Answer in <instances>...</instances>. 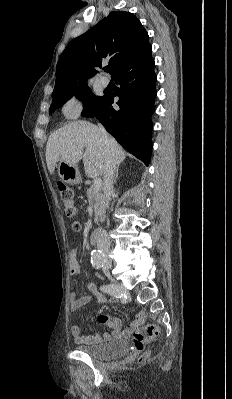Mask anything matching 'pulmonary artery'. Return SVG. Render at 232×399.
<instances>
[{
	"instance_id": "e3ab8cb5",
	"label": "pulmonary artery",
	"mask_w": 232,
	"mask_h": 399,
	"mask_svg": "<svg viewBox=\"0 0 232 399\" xmlns=\"http://www.w3.org/2000/svg\"><path fill=\"white\" fill-rule=\"evenodd\" d=\"M98 82H99L100 86L106 87L109 84V78L106 77V75L104 73H102Z\"/></svg>"
}]
</instances>
